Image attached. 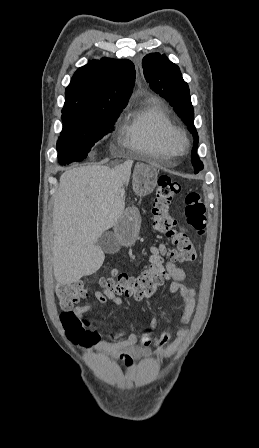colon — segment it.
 I'll use <instances>...</instances> for the list:
<instances>
[{
  "mask_svg": "<svg viewBox=\"0 0 259 448\" xmlns=\"http://www.w3.org/2000/svg\"><path fill=\"white\" fill-rule=\"evenodd\" d=\"M181 186L169 176H161L156 185L155 199L152 207L153 227L164 233L172 241V247H162L146 257V264L137 276L115 272L101 280L107 290L116 295H125L134 299H146L155 294L163 280V259L166 257L176 262L192 261L196 257L195 247L190 237L177 227L176 219L171 215L169 206L172 199L180 192ZM185 215L188 226L197 232H205L207 216L202 197L197 192H190L185 198ZM89 288L82 280L59 286L56 290L58 304L64 312L61 322L68 339L75 343L83 342L87 335V326L81 318L71 310L72 307L85 298ZM144 340V345H149Z\"/></svg>",
  "mask_w": 259,
  "mask_h": 448,
  "instance_id": "1",
  "label": "colon"
}]
</instances>
